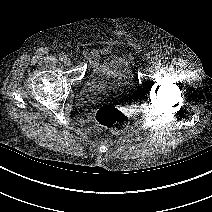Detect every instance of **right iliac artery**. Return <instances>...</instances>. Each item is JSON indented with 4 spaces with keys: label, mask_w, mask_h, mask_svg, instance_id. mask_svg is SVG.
<instances>
[{
    "label": "right iliac artery",
    "mask_w": 212,
    "mask_h": 212,
    "mask_svg": "<svg viewBox=\"0 0 212 212\" xmlns=\"http://www.w3.org/2000/svg\"><path fill=\"white\" fill-rule=\"evenodd\" d=\"M65 58H66V55H64V54H61V55L59 56V59H60L61 61H64Z\"/></svg>",
    "instance_id": "1"
}]
</instances>
